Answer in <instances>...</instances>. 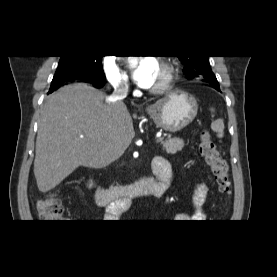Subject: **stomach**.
Returning a JSON list of instances; mask_svg holds the SVG:
<instances>
[{
  "label": "stomach",
  "mask_w": 277,
  "mask_h": 277,
  "mask_svg": "<svg viewBox=\"0 0 277 277\" xmlns=\"http://www.w3.org/2000/svg\"><path fill=\"white\" fill-rule=\"evenodd\" d=\"M196 99L184 91H172L147 108L157 127L166 132H178L190 124L197 115Z\"/></svg>",
  "instance_id": "stomach-1"
}]
</instances>
